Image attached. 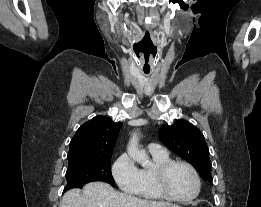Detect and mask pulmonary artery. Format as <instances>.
<instances>
[{"label": "pulmonary artery", "mask_w": 261, "mask_h": 207, "mask_svg": "<svg viewBox=\"0 0 261 207\" xmlns=\"http://www.w3.org/2000/svg\"><path fill=\"white\" fill-rule=\"evenodd\" d=\"M148 149L151 153H158V154L166 153L165 148H163L161 145L156 143H150L148 145Z\"/></svg>", "instance_id": "e3ab8cb5"}]
</instances>
